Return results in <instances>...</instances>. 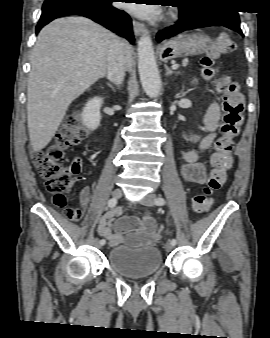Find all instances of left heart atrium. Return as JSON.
Here are the masks:
<instances>
[{"instance_id": "1", "label": "left heart atrium", "mask_w": 270, "mask_h": 338, "mask_svg": "<svg viewBox=\"0 0 270 338\" xmlns=\"http://www.w3.org/2000/svg\"><path fill=\"white\" fill-rule=\"evenodd\" d=\"M125 7L132 13L144 18H155L159 14L158 7L156 5H138L136 3H127Z\"/></svg>"}]
</instances>
